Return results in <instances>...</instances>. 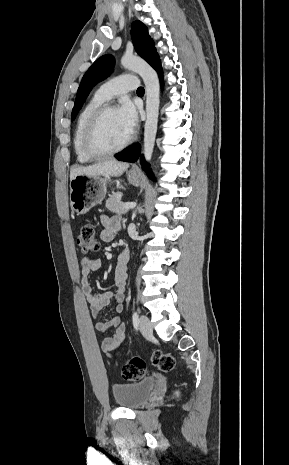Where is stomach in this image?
I'll return each instance as SVG.
<instances>
[{
	"label": "stomach",
	"instance_id": "stomach-1",
	"mask_svg": "<svg viewBox=\"0 0 289 465\" xmlns=\"http://www.w3.org/2000/svg\"><path fill=\"white\" fill-rule=\"evenodd\" d=\"M129 183L138 186L141 183L139 173H127ZM107 176L77 175L70 180V205L78 215L86 214L92 207L100 204L107 192Z\"/></svg>",
	"mask_w": 289,
	"mask_h": 465
}]
</instances>
